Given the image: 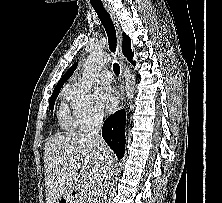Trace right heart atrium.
<instances>
[{"label":"right heart atrium","mask_w":222,"mask_h":203,"mask_svg":"<svg viewBox=\"0 0 222 203\" xmlns=\"http://www.w3.org/2000/svg\"><path fill=\"white\" fill-rule=\"evenodd\" d=\"M67 99L71 104L75 124L81 130L92 128L102 119V113L89 94L70 89L67 92Z\"/></svg>","instance_id":"1"}]
</instances>
